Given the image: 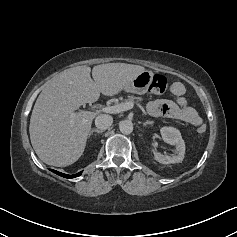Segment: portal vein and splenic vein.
Returning <instances> with one entry per match:
<instances>
[{"instance_id": "1", "label": "portal vein and splenic vein", "mask_w": 237, "mask_h": 237, "mask_svg": "<svg viewBox=\"0 0 237 237\" xmlns=\"http://www.w3.org/2000/svg\"><path fill=\"white\" fill-rule=\"evenodd\" d=\"M133 106H134L133 102H125V103H120L114 106L103 107L101 108V111L104 113L116 114V113L130 110L133 108Z\"/></svg>"}]
</instances>
